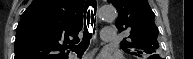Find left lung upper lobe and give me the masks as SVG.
I'll list each match as a JSON object with an SVG mask.
<instances>
[{"label":"left lung upper lobe","instance_id":"left-lung-upper-lobe-1","mask_svg":"<svg viewBox=\"0 0 193 59\" xmlns=\"http://www.w3.org/2000/svg\"><path fill=\"white\" fill-rule=\"evenodd\" d=\"M118 9L117 29L129 32L128 38L120 43L122 49L130 54H154L159 47L158 29L154 23V13L148 0H108ZM153 56V55H152ZM158 55L154 54V57Z\"/></svg>","mask_w":193,"mask_h":59}]
</instances>
